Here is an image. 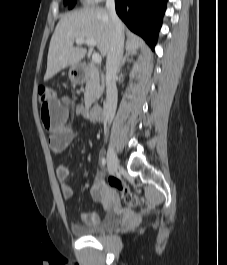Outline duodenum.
<instances>
[{
  "label": "duodenum",
  "mask_w": 227,
  "mask_h": 265,
  "mask_svg": "<svg viewBox=\"0 0 227 265\" xmlns=\"http://www.w3.org/2000/svg\"><path fill=\"white\" fill-rule=\"evenodd\" d=\"M87 70V67H83L82 72L79 74V78L82 77L83 73ZM90 114L92 116V118L96 121H102L104 119V109L103 107L98 104L95 103L90 107Z\"/></svg>",
  "instance_id": "410a0bca"
}]
</instances>
